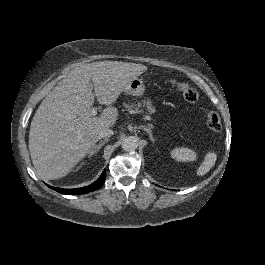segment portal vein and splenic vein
Returning <instances> with one entry per match:
<instances>
[{
    "instance_id": "portal-vein-and-splenic-vein-1",
    "label": "portal vein and splenic vein",
    "mask_w": 265,
    "mask_h": 265,
    "mask_svg": "<svg viewBox=\"0 0 265 265\" xmlns=\"http://www.w3.org/2000/svg\"><path fill=\"white\" fill-rule=\"evenodd\" d=\"M90 113H91V115H96V110H91ZM143 117H144V119H146V120H150V117L147 116V115H143Z\"/></svg>"
}]
</instances>
